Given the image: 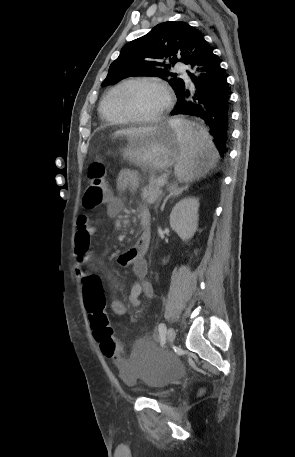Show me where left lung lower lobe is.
<instances>
[{
  "instance_id": "1",
  "label": "left lung lower lobe",
  "mask_w": 295,
  "mask_h": 457,
  "mask_svg": "<svg viewBox=\"0 0 295 457\" xmlns=\"http://www.w3.org/2000/svg\"><path fill=\"white\" fill-rule=\"evenodd\" d=\"M187 65L195 91L185 83L176 93L177 105L171 115L189 114L200 117L210 127L211 140L223 157L229 138V90L220 62L205 39L194 50Z\"/></svg>"
}]
</instances>
